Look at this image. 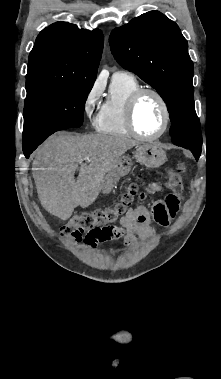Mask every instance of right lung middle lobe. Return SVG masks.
<instances>
[{
  "mask_svg": "<svg viewBox=\"0 0 221 379\" xmlns=\"http://www.w3.org/2000/svg\"><path fill=\"white\" fill-rule=\"evenodd\" d=\"M93 82H76L28 93L23 141L45 140L52 133L83 124V111Z\"/></svg>",
  "mask_w": 221,
  "mask_h": 379,
  "instance_id": "obj_1",
  "label": "right lung middle lobe"
}]
</instances>
